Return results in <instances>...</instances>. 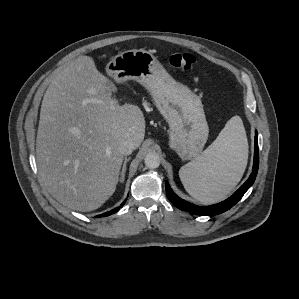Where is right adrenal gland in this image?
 <instances>
[{
    "mask_svg": "<svg viewBox=\"0 0 299 299\" xmlns=\"http://www.w3.org/2000/svg\"><path fill=\"white\" fill-rule=\"evenodd\" d=\"M130 160V158H126L124 160V163H123V167H122V172H121V178H120V182H123L124 181V178H125V172H126V165H127V162Z\"/></svg>",
    "mask_w": 299,
    "mask_h": 299,
    "instance_id": "1",
    "label": "right adrenal gland"
}]
</instances>
